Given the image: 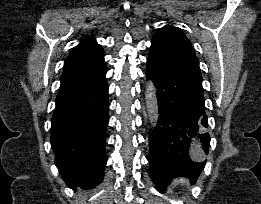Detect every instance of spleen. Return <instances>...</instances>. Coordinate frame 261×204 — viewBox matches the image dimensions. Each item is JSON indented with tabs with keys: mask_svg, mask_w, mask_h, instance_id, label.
I'll return each mask as SVG.
<instances>
[{
	"mask_svg": "<svg viewBox=\"0 0 261 204\" xmlns=\"http://www.w3.org/2000/svg\"><path fill=\"white\" fill-rule=\"evenodd\" d=\"M200 152H201L200 147L196 146L195 149H194V153L193 154L195 155V157H197V156L200 155Z\"/></svg>",
	"mask_w": 261,
	"mask_h": 204,
	"instance_id": "spleen-1",
	"label": "spleen"
}]
</instances>
